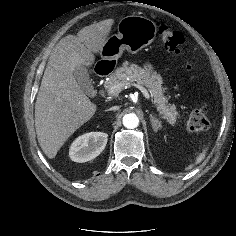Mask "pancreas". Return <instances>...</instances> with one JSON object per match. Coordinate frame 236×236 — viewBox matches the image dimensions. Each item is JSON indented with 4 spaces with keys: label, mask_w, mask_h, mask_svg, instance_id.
Instances as JSON below:
<instances>
[{
    "label": "pancreas",
    "mask_w": 236,
    "mask_h": 236,
    "mask_svg": "<svg viewBox=\"0 0 236 236\" xmlns=\"http://www.w3.org/2000/svg\"><path fill=\"white\" fill-rule=\"evenodd\" d=\"M128 81L146 86L153 97V103L160 116L169 124L175 126L180 114L174 104L168 103L169 98L165 96L166 89L162 86L163 80L160 75L155 72H149L137 64L126 62L110 75L105 87L109 90L112 86L122 83L124 84L120 90L122 91Z\"/></svg>",
    "instance_id": "obj_1"
}]
</instances>
